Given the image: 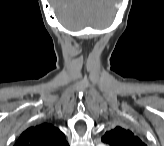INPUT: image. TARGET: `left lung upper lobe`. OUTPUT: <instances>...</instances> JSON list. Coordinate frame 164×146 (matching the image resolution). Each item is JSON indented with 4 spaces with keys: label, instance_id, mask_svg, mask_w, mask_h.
<instances>
[{
    "label": "left lung upper lobe",
    "instance_id": "left-lung-upper-lobe-1",
    "mask_svg": "<svg viewBox=\"0 0 164 146\" xmlns=\"http://www.w3.org/2000/svg\"><path fill=\"white\" fill-rule=\"evenodd\" d=\"M102 141L111 146H144V143L134 135L130 130L116 127L110 131H107Z\"/></svg>",
    "mask_w": 164,
    "mask_h": 146
}]
</instances>
